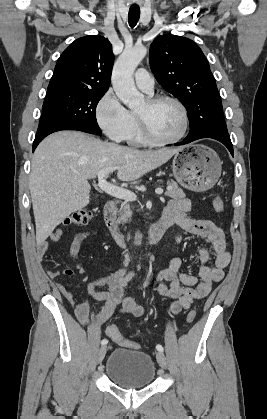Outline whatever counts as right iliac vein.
<instances>
[{"label":"right iliac vein","mask_w":267,"mask_h":419,"mask_svg":"<svg viewBox=\"0 0 267 419\" xmlns=\"http://www.w3.org/2000/svg\"><path fill=\"white\" fill-rule=\"evenodd\" d=\"M106 351H107V347L104 345V346H102L100 349H99V351H98V355H97V362L98 363H101L102 362V360H103V358H104V356H105V354H106Z\"/></svg>","instance_id":"obj_1"}]
</instances>
